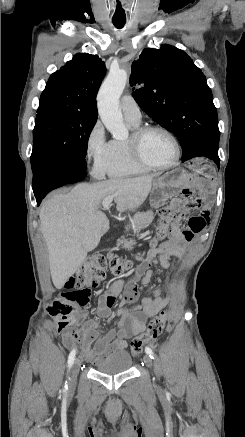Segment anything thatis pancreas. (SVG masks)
Listing matches in <instances>:
<instances>
[{
	"label": "pancreas",
	"instance_id": "cf45deb5",
	"mask_svg": "<svg viewBox=\"0 0 245 437\" xmlns=\"http://www.w3.org/2000/svg\"><path fill=\"white\" fill-rule=\"evenodd\" d=\"M153 220V213L152 211H148L146 213H137L133 216V218L130 219L131 222V229L133 232L139 234V232L144 229L148 223H150ZM134 244L132 240H127L125 238H122L118 240V245H123L125 248H131V246Z\"/></svg>",
	"mask_w": 245,
	"mask_h": 437
}]
</instances>
